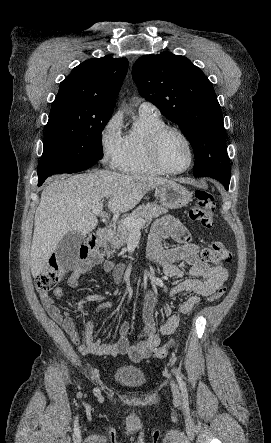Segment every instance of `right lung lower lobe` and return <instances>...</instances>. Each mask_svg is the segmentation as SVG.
<instances>
[{
  "mask_svg": "<svg viewBox=\"0 0 271 443\" xmlns=\"http://www.w3.org/2000/svg\"><path fill=\"white\" fill-rule=\"evenodd\" d=\"M91 164H77V165H60L56 166L50 169H46L43 171L38 172V186H41L44 182V180L53 175V174H59V173H75L80 172L83 170H86L90 168Z\"/></svg>",
  "mask_w": 271,
  "mask_h": 443,
  "instance_id": "right-lung-lower-lobe-1",
  "label": "right lung lower lobe"
}]
</instances>
